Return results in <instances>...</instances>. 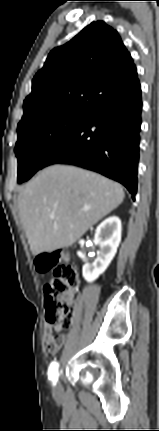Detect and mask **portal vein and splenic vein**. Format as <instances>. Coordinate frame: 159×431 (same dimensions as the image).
I'll list each match as a JSON object with an SVG mask.
<instances>
[{"mask_svg": "<svg viewBox=\"0 0 159 431\" xmlns=\"http://www.w3.org/2000/svg\"><path fill=\"white\" fill-rule=\"evenodd\" d=\"M83 211L87 212V211H89V208H84ZM50 218H54V215L51 214Z\"/></svg>", "mask_w": 159, "mask_h": 431, "instance_id": "obj_1", "label": "portal vein and splenic vein"}]
</instances>
